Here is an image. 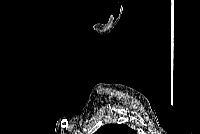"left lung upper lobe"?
I'll return each instance as SVG.
<instances>
[{"label": "left lung upper lobe", "mask_w": 200, "mask_h": 134, "mask_svg": "<svg viewBox=\"0 0 200 134\" xmlns=\"http://www.w3.org/2000/svg\"><path fill=\"white\" fill-rule=\"evenodd\" d=\"M95 134H136V132L126 125L107 124L100 127Z\"/></svg>", "instance_id": "1"}]
</instances>
